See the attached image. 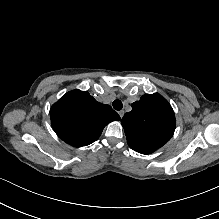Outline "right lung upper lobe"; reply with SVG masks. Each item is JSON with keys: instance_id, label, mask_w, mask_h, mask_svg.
<instances>
[{"instance_id": "obj_1", "label": "right lung upper lobe", "mask_w": 219, "mask_h": 219, "mask_svg": "<svg viewBox=\"0 0 219 219\" xmlns=\"http://www.w3.org/2000/svg\"><path fill=\"white\" fill-rule=\"evenodd\" d=\"M50 117L59 138L75 147L93 143L108 123L120 120L110 105L99 103L78 89L63 95L51 107Z\"/></svg>"}]
</instances>
